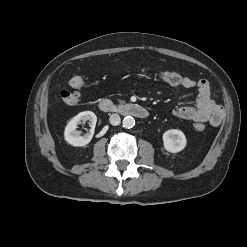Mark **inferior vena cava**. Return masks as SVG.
Returning a JSON list of instances; mask_svg holds the SVG:
<instances>
[{
  "label": "inferior vena cava",
  "instance_id": "602c4592",
  "mask_svg": "<svg viewBox=\"0 0 247 247\" xmlns=\"http://www.w3.org/2000/svg\"><path fill=\"white\" fill-rule=\"evenodd\" d=\"M109 121L112 125L117 126L121 122V118L118 114H112L110 115Z\"/></svg>",
  "mask_w": 247,
  "mask_h": 247
}]
</instances>
